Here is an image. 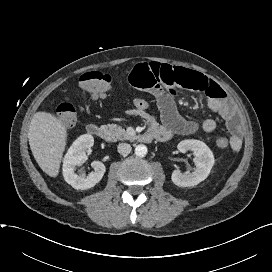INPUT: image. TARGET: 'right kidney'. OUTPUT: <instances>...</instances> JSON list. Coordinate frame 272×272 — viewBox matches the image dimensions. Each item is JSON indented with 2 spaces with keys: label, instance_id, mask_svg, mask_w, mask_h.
<instances>
[{
  "label": "right kidney",
  "instance_id": "1",
  "mask_svg": "<svg viewBox=\"0 0 272 272\" xmlns=\"http://www.w3.org/2000/svg\"><path fill=\"white\" fill-rule=\"evenodd\" d=\"M94 144V138L90 134L79 136L68 149L63 160V176L65 181L73 188L86 190L94 187L103 177L106 167L100 161H94L92 166L94 172L86 176L85 174L77 175L74 170L76 166L81 165L87 160L86 149Z\"/></svg>",
  "mask_w": 272,
  "mask_h": 272
}]
</instances>
